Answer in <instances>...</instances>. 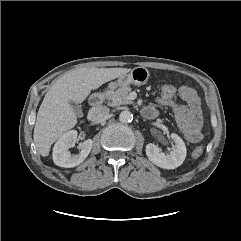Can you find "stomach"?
Returning a JSON list of instances; mask_svg holds the SVG:
<instances>
[{
  "label": "stomach",
  "instance_id": "stomach-1",
  "mask_svg": "<svg viewBox=\"0 0 241 241\" xmlns=\"http://www.w3.org/2000/svg\"><path fill=\"white\" fill-rule=\"evenodd\" d=\"M150 77L149 70L145 67H135L129 73L123 74L118 77L117 81L109 84V89L113 90L116 87H124L130 84L141 86L147 83Z\"/></svg>",
  "mask_w": 241,
  "mask_h": 241
}]
</instances>
